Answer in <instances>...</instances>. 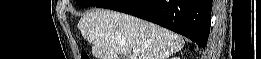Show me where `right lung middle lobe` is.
Wrapping results in <instances>:
<instances>
[{"label":"right lung middle lobe","instance_id":"1","mask_svg":"<svg viewBox=\"0 0 261 59\" xmlns=\"http://www.w3.org/2000/svg\"><path fill=\"white\" fill-rule=\"evenodd\" d=\"M102 0H76V3L80 7H90V6H95L98 3H100Z\"/></svg>","mask_w":261,"mask_h":59}]
</instances>
